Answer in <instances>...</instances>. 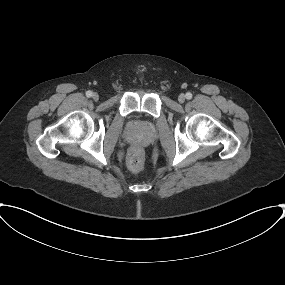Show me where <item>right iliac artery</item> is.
<instances>
[{"label": "right iliac artery", "mask_w": 285, "mask_h": 285, "mask_svg": "<svg viewBox=\"0 0 285 285\" xmlns=\"http://www.w3.org/2000/svg\"><path fill=\"white\" fill-rule=\"evenodd\" d=\"M86 96H87V97H91V96H92V92H91V91H87V92H86Z\"/></svg>", "instance_id": "right-iliac-artery-1"}]
</instances>
